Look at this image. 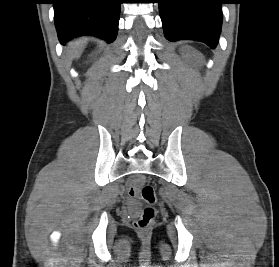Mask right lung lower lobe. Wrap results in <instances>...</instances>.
Masks as SVG:
<instances>
[{"label":"right lung lower lobe","instance_id":"1","mask_svg":"<svg viewBox=\"0 0 279 267\" xmlns=\"http://www.w3.org/2000/svg\"><path fill=\"white\" fill-rule=\"evenodd\" d=\"M54 19L61 44L73 37L94 35L115 40L120 0H53Z\"/></svg>","mask_w":279,"mask_h":267}]
</instances>
